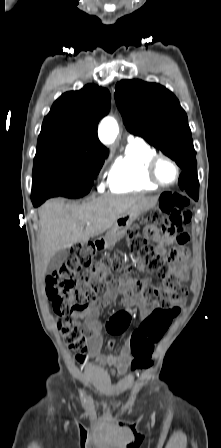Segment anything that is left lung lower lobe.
<instances>
[{
    "instance_id": "1",
    "label": "left lung lower lobe",
    "mask_w": 221,
    "mask_h": 448,
    "mask_svg": "<svg viewBox=\"0 0 221 448\" xmlns=\"http://www.w3.org/2000/svg\"><path fill=\"white\" fill-rule=\"evenodd\" d=\"M179 186L195 200H198L199 182L196 170H185L179 176Z\"/></svg>"
}]
</instances>
